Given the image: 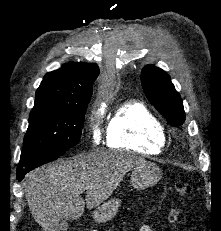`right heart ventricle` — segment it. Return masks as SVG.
Wrapping results in <instances>:
<instances>
[{"mask_svg": "<svg viewBox=\"0 0 221 231\" xmlns=\"http://www.w3.org/2000/svg\"><path fill=\"white\" fill-rule=\"evenodd\" d=\"M107 146L139 154H158L166 144L162 122L141 102L117 108L107 126Z\"/></svg>", "mask_w": 221, "mask_h": 231, "instance_id": "e07e8e85", "label": "right heart ventricle"}]
</instances>
